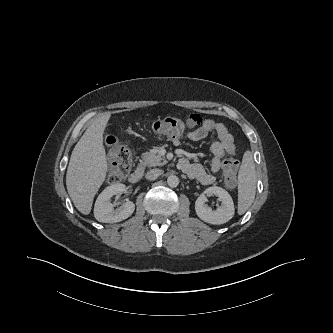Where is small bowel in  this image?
Masks as SVG:
<instances>
[{
	"mask_svg": "<svg viewBox=\"0 0 333 333\" xmlns=\"http://www.w3.org/2000/svg\"><path fill=\"white\" fill-rule=\"evenodd\" d=\"M201 123L198 128L188 131L186 136L193 141H198L206 138L211 132L217 134L218 141L213 142L211 145L212 159L209 171L203 165L191 163L184 158L179 161V166L186 174L201 184L211 185L216 180V174L223 167L225 154L230 153L235 155L236 149L233 136L222 123L216 122L213 119L201 120ZM172 142L175 146H179L181 143L179 138L173 139Z\"/></svg>",
	"mask_w": 333,
	"mask_h": 333,
	"instance_id": "1",
	"label": "small bowel"
}]
</instances>
